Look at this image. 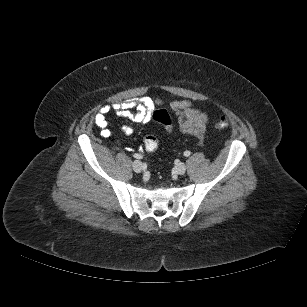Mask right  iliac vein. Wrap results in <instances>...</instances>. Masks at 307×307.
<instances>
[{
  "label": "right iliac vein",
  "mask_w": 307,
  "mask_h": 307,
  "mask_svg": "<svg viewBox=\"0 0 307 307\" xmlns=\"http://www.w3.org/2000/svg\"><path fill=\"white\" fill-rule=\"evenodd\" d=\"M132 168H133V170H134L135 172L139 173V172H141L142 169H143V164H142L141 161L136 160V161H134V162L132 163Z\"/></svg>",
  "instance_id": "right-iliac-vein-1"
}]
</instances>
